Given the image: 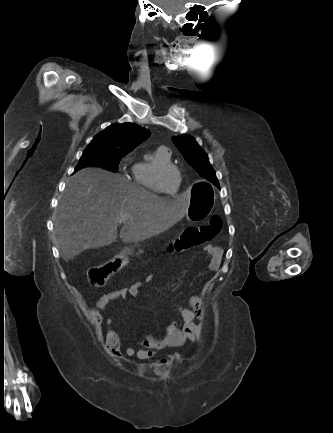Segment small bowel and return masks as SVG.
<instances>
[{"mask_svg":"<svg viewBox=\"0 0 333 433\" xmlns=\"http://www.w3.org/2000/svg\"><path fill=\"white\" fill-rule=\"evenodd\" d=\"M204 250L211 254L210 269L217 270L221 258L222 250L213 245H207ZM153 275H147L144 282H151ZM142 282H136L128 287L121 288L101 295L96 306L90 309L91 320L96 327L98 339L103 341L106 352L116 361H124L125 358H137L139 360H149L155 356V352L166 348H177L187 342H195L200 338L203 330L201 323L207 315V307L204 300L197 295H188L176 304L177 312L182 320L181 325L169 322L164 325L163 334L160 337L142 333L135 337L140 349L136 350L129 338L122 337L112 329V319L107 315L108 304L117 299H125L128 296L137 297L140 292ZM107 327V333L103 339L102 324ZM122 347L124 350L122 351Z\"/></svg>","mask_w":333,"mask_h":433,"instance_id":"obj_1","label":"small bowel"}]
</instances>
